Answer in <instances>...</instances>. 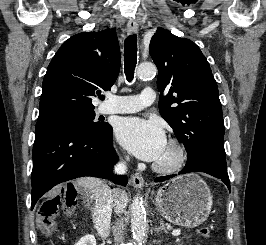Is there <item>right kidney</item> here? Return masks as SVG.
<instances>
[{"label":"right kidney","mask_w":266,"mask_h":245,"mask_svg":"<svg viewBox=\"0 0 266 245\" xmlns=\"http://www.w3.org/2000/svg\"><path fill=\"white\" fill-rule=\"evenodd\" d=\"M75 245H96V239L94 235H85V237H81Z\"/></svg>","instance_id":"right-kidney-1"}]
</instances>
